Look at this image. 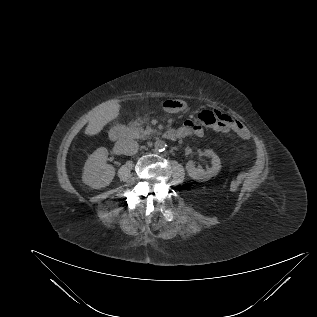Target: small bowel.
I'll list each match as a JSON object with an SVG mask.
<instances>
[{
    "label": "small bowel",
    "mask_w": 317,
    "mask_h": 317,
    "mask_svg": "<svg viewBox=\"0 0 317 317\" xmlns=\"http://www.w3.org/2000/svg\"><path fill=\"white\" fill-rule=\"evenodd\" d=\"M164 107L167 111L172 113H177L184 111L186 109V105L178 100H167L164 103ZM220 121L215 126V129L220 132H227V131H234L238 135L243 138L248 137V132L245 126L239 121L232 118L229 114L224 112H219ZM176 132V138H183L188 136H202L203 135V128L196 122L192 120L185 121L184 125L179 128Z\"/></svg>",
    "instance_id": "c3829d8e"
}]
</instances>
